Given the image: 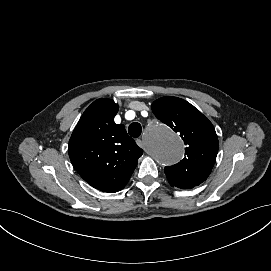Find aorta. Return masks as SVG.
Here are the masks:
<instances>
[{
	"instance_id": "obj_1",
	"label": "aorta",
	"mask_w": 271,
	"mask_h": 271,
	"mask_svg": "<svg viewBox=\"0 0 271 271\" xmlns=\"http://www.w3.org/2000/svg\"><path fill=\"white\" fill-rule=\"evenodd\" d=\"M147 148L159 163L173 165L184 156L182 140L169 128L156 127L146 134Z\"/></svg>"
}]
</instances>
